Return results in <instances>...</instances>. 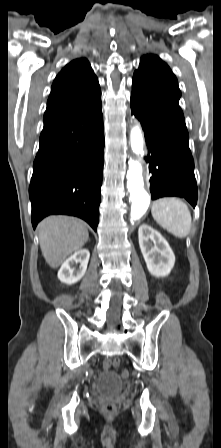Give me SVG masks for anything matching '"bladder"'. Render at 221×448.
<instances>
[{"label":"bladder","mask_w":221,"mask_h":448,"mask_svg":"<svg viewBox=\"0 0 221 448\" xmlns=\"http://www.w3.org/2000/svg\"><path fill=\"white\" fill-rule=\"evenodd\" d=\"M122 390L123 381L113 372L102 373L95 385V392L102 397L115 398Z\"/></svg>","instance_id":"obj_1"}]
</instances>
